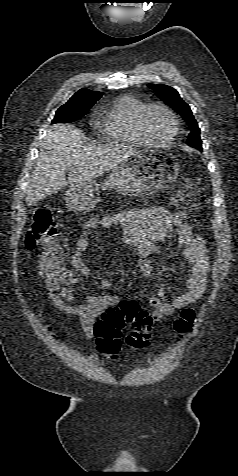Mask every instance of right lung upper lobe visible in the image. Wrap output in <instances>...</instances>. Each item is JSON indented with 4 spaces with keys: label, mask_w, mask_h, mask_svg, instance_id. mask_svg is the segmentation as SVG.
I'll return each instance as SVG.
<instances>
[{
    "label": "right lung upper lobe",
    "mask_w": 238,
    "mask_h": 476,
    "mask_svg": "<svg viewBox=\"0 0 238 476\" xmlns=\"http://www.w3.org/2000/svg\"><path fill=\"white\" fill-rule=\"evenodd\" d=\"M101 96L102 92L91 91L87 88H82L69 99L68 103L94 105Z\"/></svg>",
    "instance_id": "1"
}]
</instances>
